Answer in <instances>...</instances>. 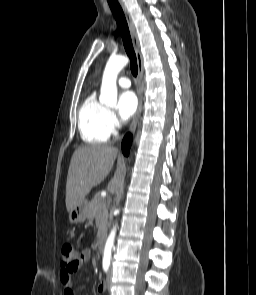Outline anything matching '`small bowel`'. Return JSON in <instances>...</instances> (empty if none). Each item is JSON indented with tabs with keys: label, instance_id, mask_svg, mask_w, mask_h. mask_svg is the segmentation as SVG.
<instances>
[{
	"label": "small bowel",
	"instance_id": "small-bowel-1",
	"mask_svg": "<svg viewBox=\"0 0 256 295\" xmlns=\"http://www.w3.org/2000/svg\"><path fill=\"white\" fill-rule=\"evenodd\" d=\"M91 258V250L84 249L79 254V263L75 270L62 269L60 272V279L64 287V295H74L72 273L85 265ZM107 290L106 284L103 281L98 282L97 292L102 295Z\"/></svg>",
	"mask_w": 256,
	"mask_h": 295
}]
</instances>
